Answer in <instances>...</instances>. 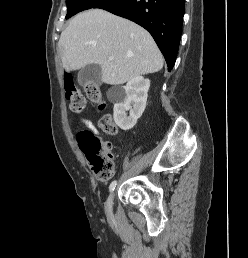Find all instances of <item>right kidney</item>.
<instances>
[{
    "instance_id": "1",
    "label": "right kidney",
    "mask_w": 248,
    "mask_h": 258,
    "mask_svg": "<svg viewBox=\"0 0 248 258\" xmlns=\"http://www.w3.org/2000/svg\"><path fill=\"white\" fill-rule=\"evenodd\" d=\"M149 79L142 76L128 81L126 86L112 88L107 96L114 101V121L122 130L133 128L146 107ZM126 111H129L127 116Z\"/></svg>"
}]
</instances>
